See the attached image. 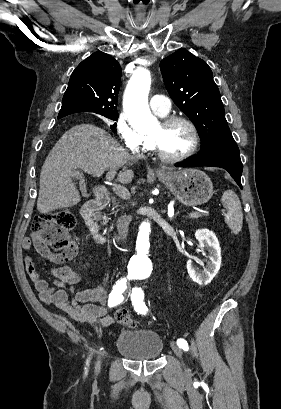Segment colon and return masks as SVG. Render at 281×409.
<instances>
[{
	"mask_svg": "<svg viewBox=\"0 0 281 409\" xmlns=\"http://www.w3.org/2000/svg\"><path fill=\"white\" fill-rule=\"evenodd\" d=\"M75 225V217L70 210L44 212L37 215L32 223L33 241L48 247L54 256L67 259L70 256L69 241L66 233ZM128 313L126 306H121L115 314V319L126 327H135L137 322Z\"/></svg>",
	"mask_w": 281,
	"mask_h": 409,
	"instance_id": "colon-1",
	"label": "colon"
}]
</instances>
